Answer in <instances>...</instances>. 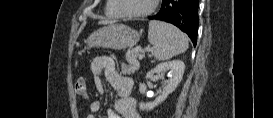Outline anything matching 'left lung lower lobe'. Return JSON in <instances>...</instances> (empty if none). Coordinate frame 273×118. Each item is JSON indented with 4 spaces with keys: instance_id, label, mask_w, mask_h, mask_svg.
Instances as JSON below:
<instances>
[{
    "instance_id": "obj_1",
    "label": "left lung lower lobe",
    "mask_w": 273,
    "mask_h": 118,
    "mask_svg": "<svg viewBox=\"0 0 273 118\" xmlns=\"http://www.w3.org/2000/svg\"><path fill=\"white\" fill-rule=\"evenodd\" d=\"M198 5V0H163L160 11L148 18L177 26L191 38L195 46L198 34Z\"/></svg>"
}]
</instances>
